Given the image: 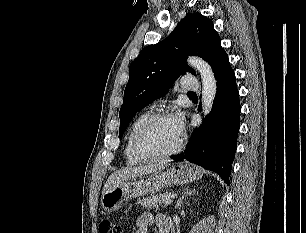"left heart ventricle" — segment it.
Instances as JSON below:
<instances>
[{
	"instance_id": "1",
	"label": "left heart ventricle",
	"mask_w": 306,
	"mask_h": 233,
	"mask_svg": "<svg viewBox=\"0 0 306 233\" xmlns=\"http://www.w3.org/2000/svg\"><path fill=\"white\" fill-rule=\"evenodd\" d=\"M179 138L171 118H167L153 124L145 133L142 143L148 150L164 152L174 148Z\"/></svg>"
}]
</instances>
